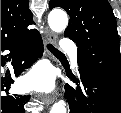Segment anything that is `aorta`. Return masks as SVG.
I'll list each match as a JSON object with an SVG mask.
<instances>
[{
	"instance_id": "aorta-1",
	"label": "aorta",
	"mask_w": 121,
	"mask_h": 113,
	"mask_svg": "<svg viewBox=\"0 0 121 113\" xmlns=\"http://www.w3.org/2000/svg\"><path fill=\"white\" fill-rule=\"evenodd\" d=\"M48 24L52 31L60 33L64 31L68 25L67 14L60 9L52 10L48 15ZM50 113H66L65 103L63 101L56 102Z\"/></svg>"
}]
</instances>
